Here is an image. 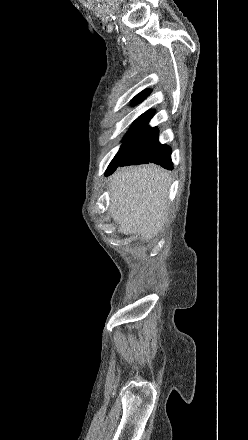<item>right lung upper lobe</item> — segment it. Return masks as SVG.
Instances as JSON below:
<instances>
[{"label":"right lung upper lobe","mask_w":248,"mask_h":440,"mask_svg":"<svg viewBox=\"0 0 248 440\" xmlns=\"http://www.w3.org/2000/svg\"><path fill=\"white\" fill-rule=\"evenodd\" d=\"M149 94L150 90L142 91L140 94L134 97L133 103L136 104L143 101ZM153 114L154 110H150L141 115L137 120H135L130 130H137L139 127L147 123L152 118Z\"/></svg>","instance_id":"1"}]
</instances>
